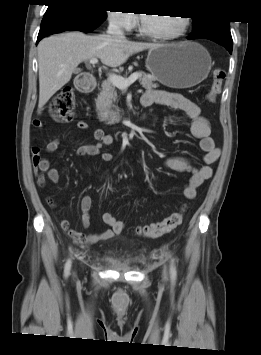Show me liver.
Returning <instances> with one entry per match:
<instances>
[{
    "label": "liver",
    "instance_id": "6515ba94",
    "mask_svg": "<svg viewBox=\"0 0 261 355\" xmlns=\"http://www.w3.org/2000/svg\"><path fill=\"white\" fill-rule=\"evenodd\" d=\"M159 45L119 40L105 34L89 36L81 32L62 33L43 39L38 45L39 111L70 81L82 61L99 58L104 65L119 67L130 55Z\"/></svg>",
    "mask_w": 261,
    "mask_h": 355
}]
</instances>
